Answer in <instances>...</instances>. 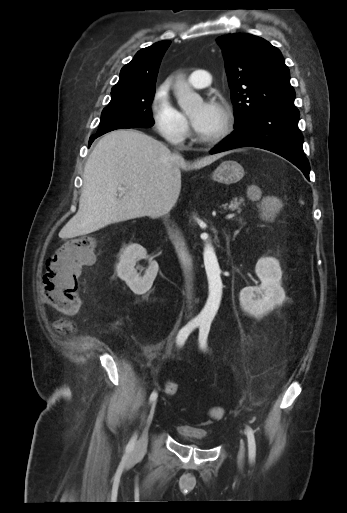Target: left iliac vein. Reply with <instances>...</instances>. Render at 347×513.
<instances>
[{
    "instance_id": "obj_1",
    "label": "left iliac vein",
    "mask_w": 347,
    "mask_h": 513,
    "mask_svg": "<svg viewBox=\"0 0 347 513\" xmlns=\"http://www.w3.org/2000/svg\"><path fill=\"white\" fill-rule=\"evenodd\" d=\"M244 452H245L244 442L241 441V443H240V450H239V453H238V463H239V465H241L243 463Z\"/></svg>"
}]
</instances>
